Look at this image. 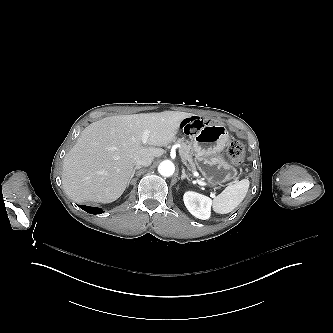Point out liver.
Instances as JSON below:
<instances>
[{
	"label": "liver",
	"instance_id": "obj_1",
	"mask_svg": "<svg viewBox=\"0 0 333 333\" xmlns=\"http://www.w3.org/2000/svg\"><path fill=\"white\" fill-rule=\"evenodd\" d=\"M191 113L164 111L106 117L91 123L63 161L65 193L77 203H111L126 189L133 168L141 158H157ZM144 131H149L146 144Z\"/></svg>",
	"mask_w": 333,
	"mask_h": 333
}]
</instances>
